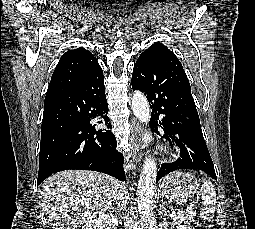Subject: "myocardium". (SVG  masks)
Segmentation results:
<instances>
[{
	"label": "myocardium",
	"mask_w": 255,
	"mask_h": 229,
	"mask_svg": "<svg viewBox=\"0 0 255 229\" xmlns=\"http://www.w3.org/2000/svg\"><path fill=\"white\" fill-rule=\"evenodd\" d=\"M163 150H164L165 152H169V148H168V147H164Z\"/></svg>",
	"instance_id": "1"
}]
</instances>
